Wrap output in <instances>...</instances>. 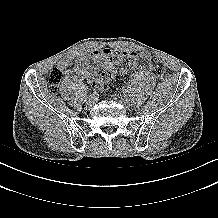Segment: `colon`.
Segmentation results:
<instances>
[{"label":"colon","mask_w":218,"mask_h":218,"mask_svg":"<svg viewBox=\"0 0 218 218\" xmlns=\"http://www.w3.org/2000/svg\"><path fill=\"white\" fill-rule=\"evenodd\" d=\"M138 62L137 57L133 56L129 60V65H136ZM149 68L152 74L157 77L158 79L162 80L166 74V67L164 63L158 57H151L149 59ZM128 72V66L123 67L121 69H117L116 67L112 66L102 72L99 77L93 83V87L98 92H103L107 90V82L116 78L120 74H125ZM62 80V71L59 68H54L51 73L49 74V90L54 93L57 91L58 85Z\"/></svg>","instance_id":"colon-1"}]
</instances>
